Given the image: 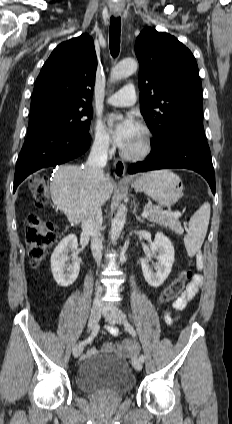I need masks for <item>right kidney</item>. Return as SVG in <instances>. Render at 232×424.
<instances>
[{
  "instance_id": "1",
  "label": "right kidney",
  "mask_w": 232,
  "mask_h": 424,
  "mask_svg": "<svg viewBox=\"0 0 232 424\" xmlns=\"http://www.w3.org/2000/svg\"><path fill=\"white\" fill-rule=\"evenodd\" d=\"M77 247V237L70 234L60 241L51 255L53 278L61 287L72 285L79 275L80 259L76 253ZM70 251L71 256H69Z\"/></svg>"
}]
</instances>
